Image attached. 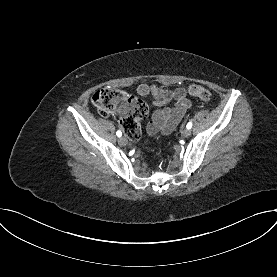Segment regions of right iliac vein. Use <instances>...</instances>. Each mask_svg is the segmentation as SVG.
<instances>
[{
    "label": "right iliac vein",
    "instance_id": "right-iliac-vein-1",
    "mask_svg": "<svg viewBox=\"0 0 277 277\" xmlns=\"http://www.w3.org/2000/svg\"><path fill=\"white\" fill-rule=\"evenodd\" d=\"M118 142H119L120 145L125 146L128 143V140L125 136H122L118 139Z\"/></svg>",
    "mask_w": 277,
    "mask_h": 277
}]
</instances>
